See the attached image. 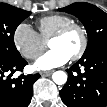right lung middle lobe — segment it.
Here are the masks:
<instances>
[{
    "mask_svg": "<svg viewBox=\"0 0 107 107\" xmlns=\"http://www.w3.org/2000/svg\"><path fill=\"white\" fill-rule=\"evenodd\" d=\"M30 14L6 3L0 4V58L11 60L21 57L14 44V33Z\"/></svg>",
    "mask_w": 107,
    "mask_h": 107,
    "instance_id": "right-lung-middle-lobe-1",
    "label": "right lung middle lobe"
}]
</instances>
